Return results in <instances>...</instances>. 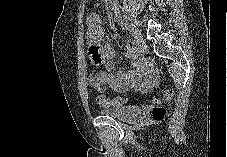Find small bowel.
<instances>
[{
  "label": "small bowel",
  "instance_id": "small-bowel-1",
  "mask_svg": "<svg viewBox=\"0 0 227 157\" xmlns=\"http://www.w3.org/2000/svg\"><path fill=\"white\" fill-rule=\"evenodd\" d=\"M119 8V7H118ZM120 17V16H119ZM87 40L90 62H101L106 73L97 72L99 86L96 89L109 87L118 92L139 90L146 92L157 83L156 70L147 66L131 42L126 43L125 57L130 60V67L116 71L114 59L117 54L112 44L104 40L101 18L93 13L87 20Z\"/></svg>",
  "mask_w": 227,
  "mask_h": 157
}]
</instances>
